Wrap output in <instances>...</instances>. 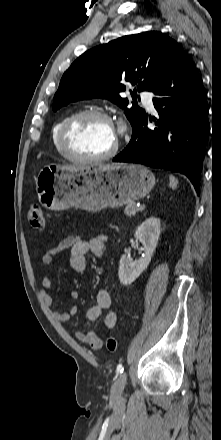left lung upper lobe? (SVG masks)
Returning a JSON list of instances; mask_svg holds the SVG:
<instances>
[{
	"label": "left lung upper lobe",
	"instance_id": "left-lung-upper-lobe-1",
	"mask_svg": "<svg viewBox=\"0 0 221 440\" xmlns=\"http://www.w3.org/2000/svg\"><path fill=\"white\" fill-rule=\"evenodd\" d=\"M181 53L173 39L157 31L123 36L94 47L77 58L63 74L54 96L53 110L72 101L90 98H107L126 108L128 100L119 95L126 90L121 81L135 85L139 92L152 91L176 64ZM131 95L136 99V89ZM125 114L133 132L143 120L145 111L132 107L126 108Z\"/></svg>",
	"mask_w": 221,
	"mask_h": 440
}]
</instances>
